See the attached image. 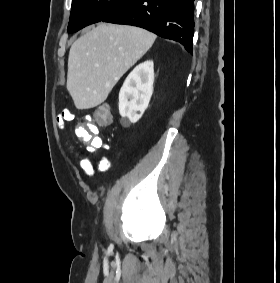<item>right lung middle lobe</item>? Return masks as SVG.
Listing matches in <instances>:
<instances>
[{
  "label": "right lung middle lobe",
  "instance_id": "right-lung-middle-lobe-1",
  "mask_svg": "<svg viewBox=\"0 0 280 283\" xmlns=\"http://www.w3.org/2000/svg\"><path fill=\"white\" fill-rule=\"evenodd\" d=\"M132 0H72L68 32L100 22Z\"/></svg>",
  "mask_w": 280,
  "mask_h": 283
}]
</instances>
